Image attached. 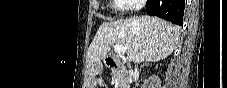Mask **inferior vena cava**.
Returning a JSON list of instances; mask_svg holds the SVG:
<instances>
[{
  "instance_id": "inferior-vena-cava-1",
  "label": "inferior vena cava",
  "mask_w": 227,
  "mask_h": 88,
  "mask_svg": "<svg viewBox=\"0 0 227 88\" xmlns=\"http://www.w3.org/2000/svg\"><path fill=\"white\" fill-rule=\"evenodd\" d=\"M142 7H143L142 4L137 5V6H136V9L139 10V9H141ZM135 73H138L137 67L135 68Z\"/></svg>"
}]
</instances>
